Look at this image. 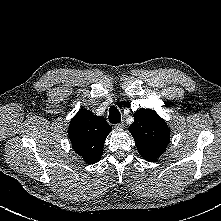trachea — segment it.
I'll list each match as a JSON object with an SVG mask.
<instances>
[{
	"instance_id": "3493384b",
	"label": "trachea",
	"mask_w": 221,
	"mask_h": 221,
	"mask_svg": "<svg viewBox=\"0 0 221 221\" xmlns=\"http://www.w3.org/2000/svg\"><path fill=\"white\" fill-rule=\"evenodd\" d=\"M109 122L117 124L121 122V115L117 107L111 106L109 109Z\"/></svg>"
}]
</instances>
